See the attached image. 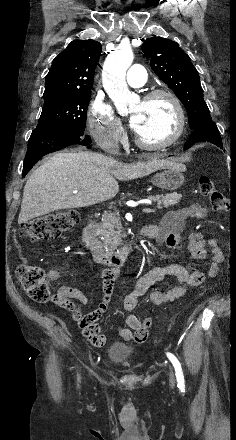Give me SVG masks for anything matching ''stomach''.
Masks as SVG:
<instances>
[{"label": "stomach", "instance_id": "obj_1", "mask_svg": "<svg viewBox=\"0 0 236 440\" xmlns=\"http://www.w3.org/2000/svg\"><path fill=\"white\" fill-rule=\"evenodd\" d=\"M185 167V166H184ZM180 164H173L162 168L161 172L156 173L150 180V182L166 190H176L182 186L184 182L183 172L185 168Z\"/></svg>", "mask_w": 236, "mask_h": 440}]
</instances>
